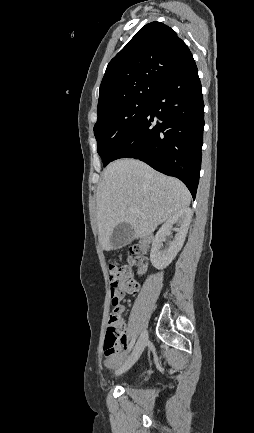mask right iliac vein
<instances>
[{
	"label": "right iliac vein",
	"instance_id": "right-iliac-vein-1",
	"mask_svg": "<svg viewBox=\"0 0 254 433\" xmlns=\"http://www.w3.org/2000/svg\"><path fill=\"white\" fill-rule=\"evenodd\" d=\"M147 343H148V333L146 331H144L141 334L138 342L136 343L135 348H134L131 356L129 357V359L117 371L118 374L126 372L128 369H130L133 366V364L138 360V358L142 354V352H143L144 348L146 347Z\"/></svg>",
	"mask_w": 254,
	"mask_h": 433
}]
</instances>
